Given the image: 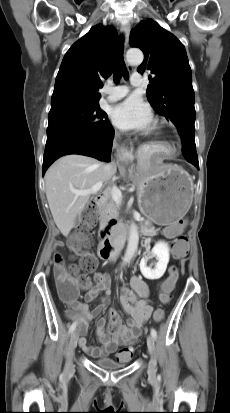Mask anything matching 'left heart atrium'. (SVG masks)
<instances>
[{"label": "left heart atrium", "instance_id": "left-heart-atrium-1", "mask_svg": "<svg viewBox=\"0 0 230 413\" xmlns=\"http://www.w3.org/2000/svg\"><path fill=\"white\" fill-rule=\"evenodd\" d=\"M111 118L114 125L123 131H144L152 123L149 107L135 97L118 104L113 109Z\"/></svg>", "mask_w": 230, "mask_h": 413}]
</instances>
